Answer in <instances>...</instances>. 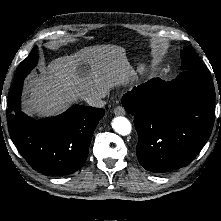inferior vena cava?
Wrapping results in <instances>:
<instances>
[{
  "mask_svg": "<svg viewBox=\"0 0 221 221\" xmlns=\"http://www.w3.org/2000/svg\"><path fill=\"white\" fill-rule=\"evenodd\" d=\"M83 100L93 107H103L105 105V101L95 94L86 96Z\"/></svg>",
  "mask_w": 221,
  "mask_h": 221,
  "instance_id": "1",
  "label": "inferior vena cava"
}]
</instances>
